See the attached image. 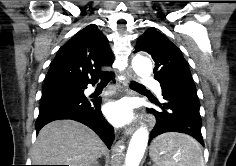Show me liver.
Segmentation results:
<instances>
[{
  "label": "liver",
  "instance_id": "6515ba94",
  "mask_svg": "<svg viewBox=\"0 0 236 166\" xmlns=\"http://www.w3.org/2000/svg\"><path fill=\"white\" fill-rule=\"evenodd\" d=\"M105 152L106 146L90 128L57 120L40 130L31 159L33 165L92 166Z\"/></svg>",
  "mask_w": 236,
  "mask_h": 166
}]
</instances>
